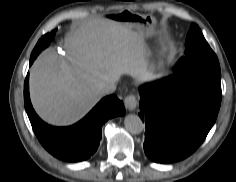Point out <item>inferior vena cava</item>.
Here are the masks:
<instances>
[{"instance_id":"602c4592","label":"inferior vena cava","mask_w":236,"mask_h":182,"mask_svg":"<svg viewBox=\"0 0 236 182\" xmlns=\"http://www.w3.org/2000/svg\"><path fill=\"white\" fill-rule=\"evenodd\" d=\"M116 82H105L104 84L101 85L100 87V92L103 95L111 94L116 90Z\"/></svg>"}]
</instances>
